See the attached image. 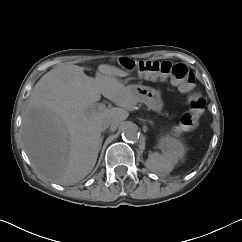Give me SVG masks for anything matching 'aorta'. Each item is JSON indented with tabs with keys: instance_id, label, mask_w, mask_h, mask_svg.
<instances>
[{
	"instance_id": "1",
	"label": "aorta",
	"mask_w": 242,
	"mask_h": 242,
	"mask_svg": "<svg viewBox=\"0 0 242 242\" xmlns=\"http://www.w3.org/2000/svg\"><path fill=\"white\" fill-rule=\"evenodd\" d=\"M122 136L128 141H135L139 137L138 127L132 122H128L122 129Z\"/></svg>"
}]
</instances>
